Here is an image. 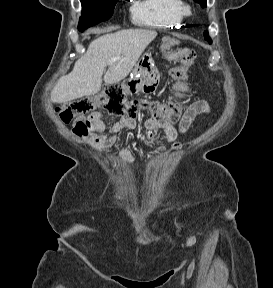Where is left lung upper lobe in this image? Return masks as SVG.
Returning a JSON list of instances; mask_svg holds the SVG:
<instances>
[{
  "label": "left lung upper lobe",
  "instance_id": "obj_1",
  "mask_svg": "<svg viewBox=\"0 0 273 288\" xmlns=\"http://www.w3.org/2000/svg\"><path fill=\"white\" fill-rule=\"evenodd\" d=\"M194 1L197 2V3H199L202 8H205V7H206V0H194ZM204 37H205V39H206L209 43L212 42L211 39H210V37H209V35H208V32H204Z\"/></svg>",
  "mask_w": 273,
  "mask_h": 288
}]
</instances>
